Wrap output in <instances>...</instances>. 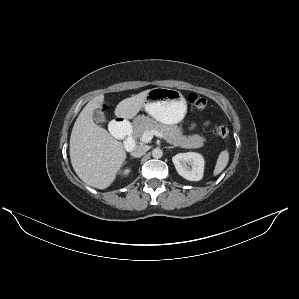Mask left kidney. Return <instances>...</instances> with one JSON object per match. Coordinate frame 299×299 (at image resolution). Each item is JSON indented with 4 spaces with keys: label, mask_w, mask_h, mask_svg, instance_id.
Here are the masks:
<instances>
[{
    "label": "left kidney",
    "mask_w": 299,
    "mask_h": 299,
    "mask_svg": "<svg viewBox=\"0 0 299 299\" xmlns=\"http://www.w3.org/2000/svg\"><path fill=\"white\" fill-rule=\"evenodd\" d=\"M172 162L180 176L189 181H199L203 177L205 161L201 154L195 152L179 153ZM191 165V168L187 165Z\"/></svg>",
    "instance_id": "1"
}]
</instances>
